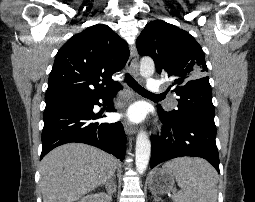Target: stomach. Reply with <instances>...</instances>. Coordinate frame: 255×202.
I'll use <instances>...</instances> for the list:
<instances>
[{"label":"stomach","mask_w":255,"mask_h":202,"mask_svg":"<svg viewBox=\"0 0 255 202\" xmlns=\"http://www.w3.org/2000/svg\"><path fill=\"white\" fill-rule=\"evenodd\" d=\"M148 183L153 194L163 195L174 192V177L163 168L153 170L149 175Z\"/></svg>","instance_id":"0dacf381"}]
</instances>
